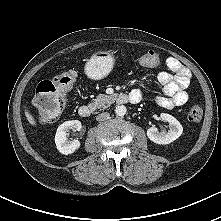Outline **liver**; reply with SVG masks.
Returning a JSON list of instances; mask_svg holds the SVG:
<instances>
[{"instance_id":"liver-1","label":"liver","mask_w":221,"mask_h":221,"mask_svg":"<svg viewBox=\"0 0 221 221\" xmlns=\"http://www.w3.org/2000/svg\"><path fill=\"white\" fill-rule=\"evenodd\" d=\"M25 115H26L28 122L31 125L36 126V121H35L34 117L29 113L27 108L25 109Z\"/></svg>"}]
</instances>
